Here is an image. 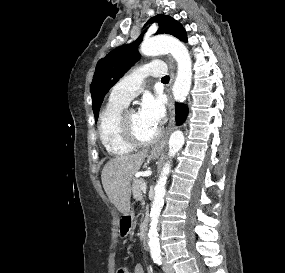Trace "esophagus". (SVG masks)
<instances>
[{
  "instance_id": "34e87169",
  "label": "esophagus",
  "mask_w": 285,
  "mask_h": 273,
  "mask_svg": "<svg viewBox=\"0 0 285 273\" xmlns=\"http://www.w3.org/2000/svg\"><path fill=\"white\" fill-rule=\"evenodd\" d=\"M170 68H171V77L174 78V66L173 61L169 60ZM169 112H170V122H169V129H172L175 119V111H174V103L172 101L171 96L169 97ZM167 137L163 138L159 143H157L151 150V153H158L163 150L165 145L167 144Z\"/></svg>"
}]
</instances>
